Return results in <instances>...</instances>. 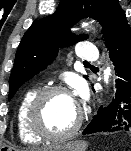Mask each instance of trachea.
Here are the masks:
<instances>
[{
	"mask_svg": "<svg viewBox=\"0 0 131 151\" xmlns=\"http://www.w3.org/2000/svg\"><path fill=\"white\" fill-rule=\"evenodd\" d=\"M84 64L87 65V64H89V63L85 61Z\"/></svg>",
	"mask_w": 131,
	"mask_h": 151,
	"instance_id": "3493384b",
	"label": "trachea"
}]
</instances>
